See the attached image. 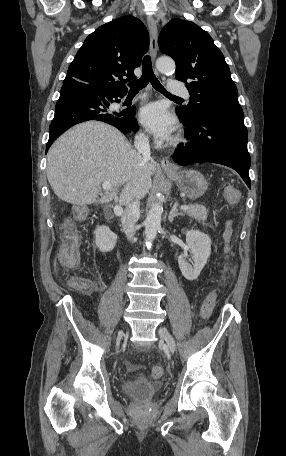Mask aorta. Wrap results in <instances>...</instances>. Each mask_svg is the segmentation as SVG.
<instances>
[{
  "label": "aorta",
  "instance_id": "aorta-1",
  "mask_svg": "<svg viewBox=\"0 0 286 456\" xmlns=\"http://www.w3.org/2000/svg\"><path fill=\"white\" fill-rule=\"evenodd\" d=\"M157 69L163 74H172L175 71V62L171 58L161 57L156 61ZM162 195H159L158 200L151 205L145 221V236L149 241L156 238L157 232L161 227V216L163 206L159 201Z\"/></svg>",
  "mask_w": 286,
  "mask_h": 456
}]
</instances>
